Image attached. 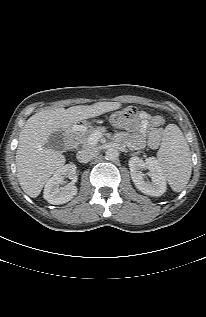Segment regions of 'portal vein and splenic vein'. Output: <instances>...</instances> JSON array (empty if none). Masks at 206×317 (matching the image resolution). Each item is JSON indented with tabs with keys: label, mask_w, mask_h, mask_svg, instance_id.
Instances as JSON below:
<instances>
[{
	"label": "portal vein and splenic vein",
	"mask_w": 206,
	"mask_h": 317,
	"mask_svg": "<svg viewBox=\"0 0 206 317\" xmlns=\"http://www.w3.org/2000/svg\"><path fill=\"white\" fill-rule=\"evenodd\" d=\"M100 137H101V134L98 133V132L92 134V135L90 136V138H89L90 144L95 145V144L98 142V140H99Z\"/></svg>",
	"instance_id": "18ae733b"
}]
</instances>
